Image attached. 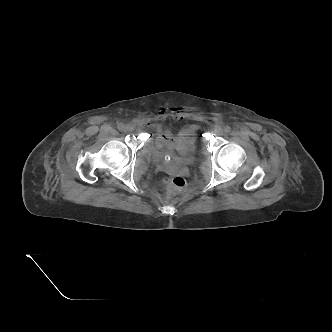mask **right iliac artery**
I'll list each match as a JSON object with an SVG mask.
<instances>
[{"label":"right iliac artery","mask_w":332,"mask_h":332,"mask_svg":"<svg viewBox=\"0 0 332 332\" xmlns=\"http://www.w3.org/2000/svg\"><path fill=\"white\" fill-rule=\"evenodd\" d=\"M117 127H118L119 130H123L124 124L123 123H119Z\"/></svg>","instance_id":"obj_1"}]
</instances>
